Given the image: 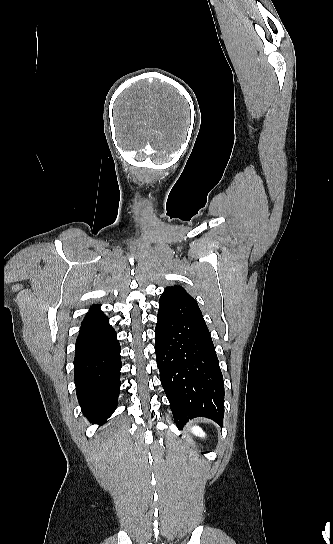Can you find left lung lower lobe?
I'll list each match as a JSON object with an SVG mask.
<instances>
[{
	"instance_id": "left-lung-lower-lobe-1",
	"label": "left lung lower lobe",
	"mask_w": 333,
	"mask_h": 544,
	"mask_svg": "<svg viewBox=\"0 0 333 544\" xmlns=\"http://www.w3.org/2000/svg\"><path fill=\"white\" fill-rule=\"evenodd\" d=\"M157 319V366L176 425L181 429L189 419L206 417L222 426L223 375L197 301L166 295Z\"/></svg>"
}]
</instances>
